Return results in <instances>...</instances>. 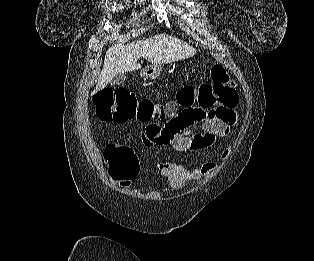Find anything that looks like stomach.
I'll list each match as a JSON object with an SVG mask.
<instances>
[{
  "label": "stomach",
  "mask_w": 314,
  "mask_h": 261,
  "mask_svg": "<svg viewBox=\"0 0 314 261\" xmlns=\"http://www.w3.org/2000/svg\"><path fill=\"white\" fill-rule=\"evenodd\" d=\"M162 72V65H150L141 71V76L145 79H155Z\"/></svg>",
  "instance_id": "1"
}]
</instances>
